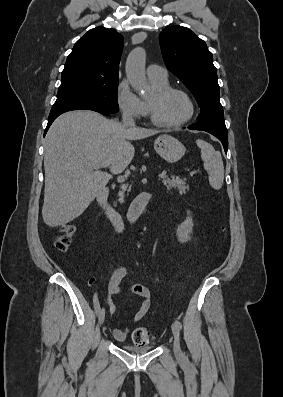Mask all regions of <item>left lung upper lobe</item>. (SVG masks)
<instances>
[{"label": "left lung upper lobe", "mask_w": 283, "mask_h": 397, "mask_svg": "<svg viewBox=\"0 0 283 397\" xmlns=\"http://www.w3.org/2000/svg\"><path fill=\"white\" fill-rule=\"evenodd\" d=\"M159 42L167 69L192 92L201 108L198 122L225 126L217 70L206 43L182 26L162 30Z\"/></svg>", "instance_id": "left-lung-upper-lobe-1"}]
</instances>
